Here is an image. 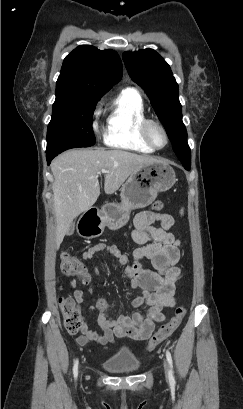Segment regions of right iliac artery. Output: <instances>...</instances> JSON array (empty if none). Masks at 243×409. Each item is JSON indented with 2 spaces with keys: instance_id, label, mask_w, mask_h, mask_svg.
Returning a JSON list of instances; mask_svg holds the SVG:
<instances>
[{
  "instance_id": "right-iliac-artery-1",
  "label": "right iliac artery",
  "mask_w": 243,
  "mask_h": 409,
  "mask_svg": "<svg viewBox=\"0 0 243 409\" xmlns=\"http://www.w3.org/2000/svg\"><path fill=\"white\" fill-rule=\"evenodd\" d=\"M73 374H74V378L76 379L78 375V359L74 361Z\"/></svg>"
}]
</instances>
